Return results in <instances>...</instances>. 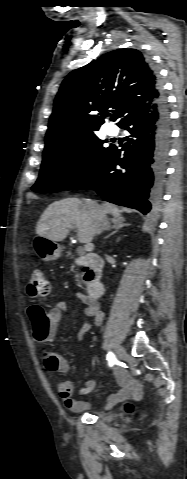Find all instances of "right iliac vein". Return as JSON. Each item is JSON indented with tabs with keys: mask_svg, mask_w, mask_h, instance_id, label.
Masks as SVG:
<instances>
[{
	"mask_svg": "<svg viewBox=\"0 0 187 479\" xmlns=\"http://www.w3.org/2000/svg\"><path fill=\"white\" fill-rule=\"evenodd\" d=\"M115 351H116L117 356H118L120 359H123V358L126 356V351H125V349H124L122 346H120V345L116 346Z\"/></svg>",
	"mask_w": 187,
	"mask_h": 479,
	"instance_id": "63e3f726",
	"label": "right iliac vein"
}]
</instances>
